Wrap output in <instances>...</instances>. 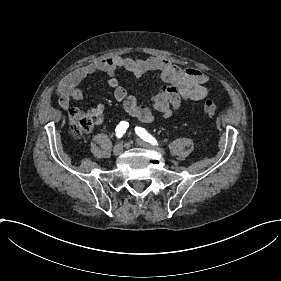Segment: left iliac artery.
<instances>
[{
  "label": "left iliac artery",
  "mask_w": 281,
  "mask_h": 281,
  "mask_svg": "<svg viewBox=\"0 0 281 281\" xmlns=\"http://www.w3.org/2000/svg\"><path fill=\"white\" fill-rule=\"evenodd\" d=\"M136 134L145 140L146 142L151 143L152 145H158L154 137H152L144 128L135 127Z\"/></svg>",
  "instance_id": "44dca946"
}]
</instances>
